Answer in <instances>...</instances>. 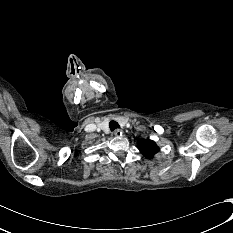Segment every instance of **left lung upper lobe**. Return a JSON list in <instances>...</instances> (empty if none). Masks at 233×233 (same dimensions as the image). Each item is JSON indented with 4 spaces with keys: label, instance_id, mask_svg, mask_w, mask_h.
<instances>
[{
    "label": "left lung upper lobe",
    "instance_id": "obj_1",
    "mask_svg": "<svg viewBox=\"0 0 233 233\" xmlns=\"http://www.w3.org/2000/svg\"><path fill=\"white\" fill-rule=\"evenodd\" d=\"M137 147L148 159H152L153 156L159 151V147L150 139H139L137 142Z\"/></svg>",
    "mask_w": 233,
    "mask_h": 233
}]
</instances>
